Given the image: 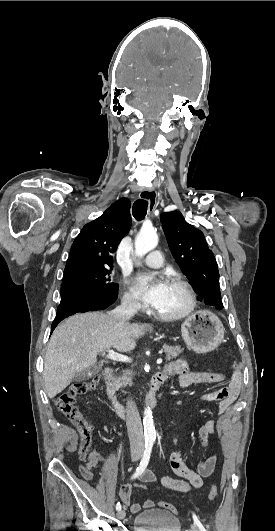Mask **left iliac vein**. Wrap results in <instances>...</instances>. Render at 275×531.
<instances>
[{"label":"left iliac vein","mask_w":275,"mask_h":531,"mask_svg":"<svg viewBox=\"0 0 275 531\" xmlns=\"http://www.w3.org/2000/svg\"><path fill=\"white\" fill-rule=\"evenodd\" d=\"M191 529L192 531H199V529L194 524H191Z\"/></svg>","instance_id":"obj_1"}]
</instances>
